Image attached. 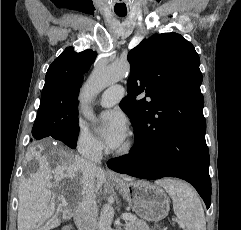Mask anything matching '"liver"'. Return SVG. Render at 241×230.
<instances>
[{
  "label": "liver",
  "instance_id": "1",
  "mask_svg": "<svg viewBox=\"0 0 241 230\" xmlns=\"http://www.w3.org/2000/svg\"><path fill=\"white\" fill-rule=\"evenodd\" d=\"M35 160L37 169L28 178L22 177L19 187V205L17 215L18 230H38L47 220L53 224L58 222L55 218V194L50 190L49 184L54 180V187L60 188V181L69 179L74 186V195L65 194V200L80 204L82 201L81 164L83 158L65 150L63 147L54 146L46 151L41 145L39 150L31 149L26 155V162ZM95 192L106 181L104 171L97 167L95 170ZM125 181H133L131 177H124Z\"/></svg>",
  "mask_w": 241,
  "mask_h": 230
}]
</instances>
